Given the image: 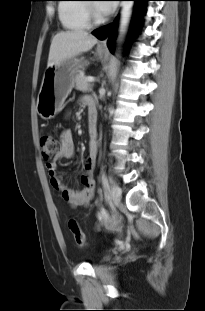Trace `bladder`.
I'll use <instances>...</instances> for the list:
<instances>
[{"instance_id": "bladder-1", "label": "bladder", "mask_w": 205, "mask_h": 311, "mask_svg": "<svg viewBox=\"0 0 205 311\" xmlns=\"http://www.w3.org/2000/svg\"><path fill=\"white\" fill-rule=\"evenodd\" d=\"M103 260H105V261H106V260H109V257H105Z\"/></svg>"}]
</instances>
